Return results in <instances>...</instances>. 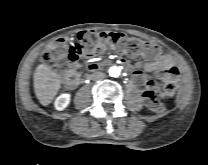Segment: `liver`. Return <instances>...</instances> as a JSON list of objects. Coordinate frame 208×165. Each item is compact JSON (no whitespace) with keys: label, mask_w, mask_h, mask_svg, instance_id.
I'll return each mask as SVG.
<instances>
[{"label":"liver","mask_w":208,"mask_h":165,"mask_svg":"<svg viewBox=\"0 0 208 165\" xmlns=\"http://www.w3.org/2000/svg\"><path fill=\"white\" fill-rule=\"evenodd\" d=\"M34 89L39 102L49 105L61 87V81L55 71L44 64L37 66L34 73Z\"/></svg>","instance_id":"6515ba94"}]
</instances>
